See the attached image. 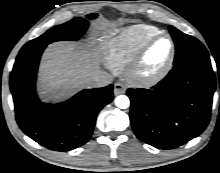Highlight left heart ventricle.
Masks as SVG:
<instances>
[{
    "instance_id": "obj_1",
    "label": "left heart ventricle",
    "mask_w": 220,
    "mask_h": 173,
    "mask_svg": "<svg viewBox=\"0 0 220 173\" xmlns=\"http://www.w3.org/2000/svg\"><path fill=\"white\" fill-rule=\"evenodd\" d=\"M170 51V43L167 38L156 41L147 51L142 70L145 74L158 71L167 61Z\"/></svg>"
}]
</instances>
